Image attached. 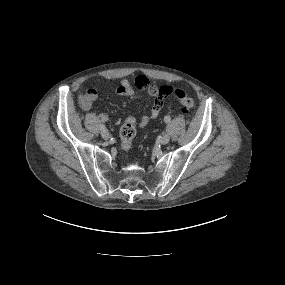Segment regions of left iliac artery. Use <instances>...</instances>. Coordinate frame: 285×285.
<instances>
[{"label": "left iliac artery", "mask_w": 285, "mask_h": 285, "mask_svg": "<svg viewBox=\"0 0 285 285\" xmlns=\"http://www.w3.org/2000/svg\"><path fill=\"white\" fill-rule=\"evenodd\" d=\"M170 120H171L170 116H165L164 121H165L166 123L170 122Z\"/></svg>", "instance_id": "left-iliac-artery-1"}]
</instances>
